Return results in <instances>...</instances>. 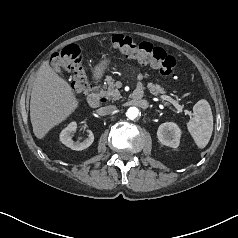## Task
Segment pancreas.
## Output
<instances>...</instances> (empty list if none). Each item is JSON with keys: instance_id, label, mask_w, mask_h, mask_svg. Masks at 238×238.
I'll return each instance as SVG.
<instances>
[{"instance_id": "1", "label": "pancreas", "mask_w": 238, "mask_h": 238, "mask_svg": "<svg viewBox=\"0 0 238 238\" xmlns=\"http://www.w3.org/2000/svg\"><path fill=\"white\" fill-rule=\"evenodd\" d=\"M147 87H148L150 93H152L154 95L165 93V90L158 84L148 83ZM104 88H105V91L103 92V94L107 98L114 100V101L121 98L120 91L116 88L115 80L112 77L106 78V84H105Z\"/></svg>"}]
</instances>
